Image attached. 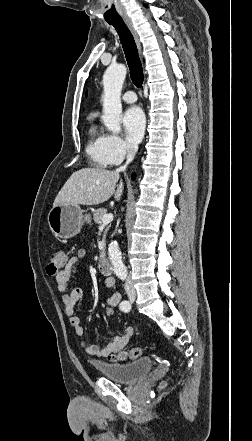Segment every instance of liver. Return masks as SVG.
I'll return each mask as SVG.
<instances>
[{
    "mask_svg": "<svg viewBox=\"0 0 252 441\" xmlns=\"http://www.w3.org/2000/svg\"><path fill=\"white\" fill-rule=\"evenodd\" d=\"M119 173L100 168H82L74 172L66 181L54 200L56 205H98L107 201L113 194L120 200L123 182L115 192Z\"/></svg>",
    "mask_w": 252,
    "mask_h": 441,
    "instance_id": "6515ba94",
    "label": "liver"
}]
</instances>
